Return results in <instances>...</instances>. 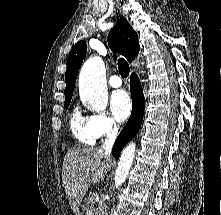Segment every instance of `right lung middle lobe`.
<instances>
[{"label":"right lung middle lobe","mask_w":221,"mask_h":215,"mask_svg":"<svg viewBox=\"0 0 221 215\" xmlns=\"http://www.w3.org/2000/svg\"><path fill=\"white\" fill-rule=\"evenodd\" d=\"M71 99L65 100L64 107L67 109L70 104Z\"/></svg>","instance_id":"1"}]
</instances>
